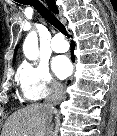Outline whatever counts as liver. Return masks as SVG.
Wrapping results in <instances>:
<instances>
[{"label": "liver", "instance_id": "6515ba94", "mask_svg": "<svg viewBox=\"0 0 117 136\" xmlns=\"http://www.w3.org/2000/svg\"><path fill=\"white\" fill-rule=\"evenodd\" d=\"M55 109L33 103L13 113L6 121L2 136H44Z\"/></svg>", "mask_w": 117, "mask_h": 136}]
</instances>
